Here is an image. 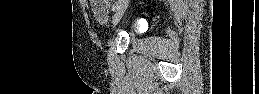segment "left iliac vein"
Masks as SVG:
<instances>
[{"label": "left iliac vein", "instance_id": "obj_1", "mask_svg": "<svg viewBox=\"0 0 259 94\" xmlns=\"http://www.w3.org/2000/svg\"><path fill=\"white\" fill-rule=\"evenodd\" d=\"M127 3L128 1L125 0L121 3V5L119 6V8L117 9L115 16H114V23H117L119 21V19L121 18V16L123 15L126 7H127Z\"/></svg>", "mask_w": 259, "mask_h": 94}]
</instances>
